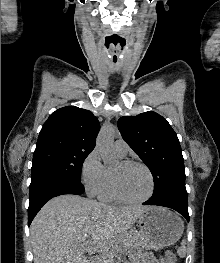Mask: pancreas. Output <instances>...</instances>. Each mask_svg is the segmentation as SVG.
Segmentation results:
<instances>
[{
  "mask_svg": "<svg viewBox=\"0 0 220 263\" xmlns=\"http://www.w3.org/2000/svg\"><path fill=\"white\" fill-rule=\"evenodd\" d=\"M140 236V232L136 230L126 232L120 240V249H122L123 252H126L127 250L141 246ZM114 253L115 247H112L108 251L104 252L101 258L95 263H108V259L112 257Z\"/></svg>",
  "mask_w": 220,
  "mask_h": 263,
  "instance_id": "obj_1",
  "label": "pancreas"
}]
</instances>
